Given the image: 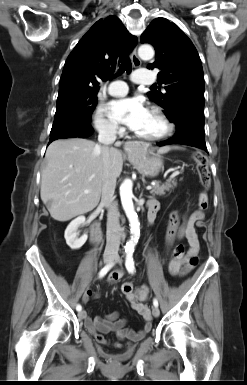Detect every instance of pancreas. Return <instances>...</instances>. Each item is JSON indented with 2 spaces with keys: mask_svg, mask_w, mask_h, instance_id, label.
Listing matches in <instances>:
<instances>
[{
  "mask_svg": "<svg viewBox=\"0 0 247 385\" xmlns=\"http://www.w3.org/2000/svg\"><path fill=\"white\" fill-rule=\"evenodd\" d=\"M177 186V182L175 180L167 181L160 185L159 182H156L155 185L152 187L150 193L155 196H163L165 195L166 191H170L171 189L175 188Z\"/></svg>",
  "mask_w": 247,
  "mask_h": 385,
  "instance_id": "obj_1",
  "label": "pancreas"
}]
</instances>
